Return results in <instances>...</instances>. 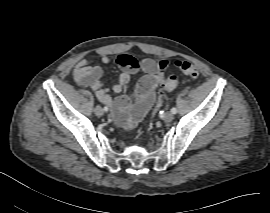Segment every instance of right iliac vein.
I'll return each mask as SVG.
<instances>
[{"mask_svg": "<svg viewBox=\"0 0 270 213\" xmlns=\"http://www.w3.org/2000/svg\"><path fill=\"white\" fill-rule=\"evenodd\" d=\"M94 112L97 116H101L103 113L102 108L98 105L95 107Z\"/></svg>", "mask_w": 270, "mask_h": 213, "instance_id": "63e3f726", "label": "right iliac vein"}]
</instances>
